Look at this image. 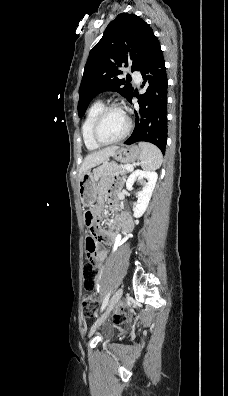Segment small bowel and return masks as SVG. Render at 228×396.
<instances>
[{
  "mask_svg": "<svg viewBox=\"0 0 228 396\" xmlns=\"http://www.w3.org/2000/svg\"><path fill=\"white\" fill-rule=\"evenodd\" d=\"M108 190H109L108 187L103 188V191L107 192ZM109 205L113 206V200L111 198L109 199ZM102 209H103L102 201L99 200L92 207L91 210H92V212L94 214L99 216L101 214V212H102ZM121 216L127 219L128 223H129V226H130V229H129V231H130L131 230L130 220L128 219V217H126L124 215H121ZM115 236H116V233H115V231L113 229H108V230H105V231L104 230H100V229L97 230V237H98V239L100 241L113 242L115 240ZM106 257H107V252L105 250H103V249H97L95 251V253L92 255V258H93L94 262L97 265H99V266H101L103 264V262L105 261ZM101 281H102V275L99 273V275H98V277L96 279V282H95V287H96V289L98 291L101 288Z\"/></svg>",
  "mask_w": 228,
  "mask_h": 396,
  "instance_id": "1",
  "label": "small bowel"
}]
</instances>
